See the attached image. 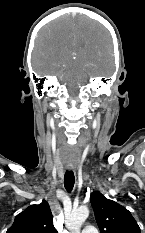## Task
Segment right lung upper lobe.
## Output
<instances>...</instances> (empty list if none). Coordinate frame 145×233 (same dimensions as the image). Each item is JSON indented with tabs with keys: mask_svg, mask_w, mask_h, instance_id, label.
<instances>
[{
	"mask_svg": "<svg viewBox=\"0 0 145 233\" xmlns=\"http://www.w3.org/2000/svg\"><path fill=\"white\" fill-rule=\"evenodd\" d=\"M6 233H57L49 204L44 200L39 205L29 206L15 217Z\"/></svg>",
	"mask_w": 145,
	"mask_h": 233,
	"instance_id": "right-lung-upper-lobe-1",
	"label": "right lung upper lobe"
}]
</instances>
